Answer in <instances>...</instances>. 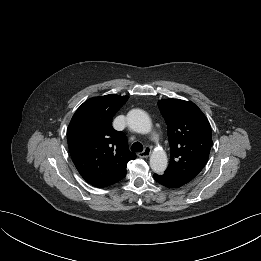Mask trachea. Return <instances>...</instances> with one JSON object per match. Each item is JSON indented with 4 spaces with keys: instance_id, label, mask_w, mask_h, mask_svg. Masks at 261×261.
<instances>
[{
    "instance_id": "trachea-1",
    "label": "trachea",
    "mask_w": 261,
    "mask_h": 261,
    "mask_svg": "<svg viewBox=\"0 0 261 261\" xmlns=\"http://www.w3.org/2000/svg\"><path fill=\"white\" fill-rule=\"evenodd\" d=\"M131 150L135 151V152H142L143 151V145L139 142H135L132 146H131Z\"/></svg>"
}]
</instances>
